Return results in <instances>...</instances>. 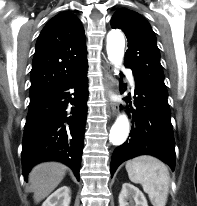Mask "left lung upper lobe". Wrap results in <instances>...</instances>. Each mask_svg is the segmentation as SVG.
Listing matches in <instances>:
<instances>
[{"label":"left lung upper lobe","mask_w":197,"mask_h":206,"mask_svg":"<svg viewBox=\"0 0 197 206\" xmlns=\"http://www.w3.org/2000/svg\"><path fill=\"white\" fill-rule=\"evenodd\" d=\"M111 27L122 29L128 39L125 66L144 84L168 96L156 37L147 20L135 11L122 8L113 15Z\"/></svg>","instance_id":"left-lung-upper-lobe-1"}]
</instances>
